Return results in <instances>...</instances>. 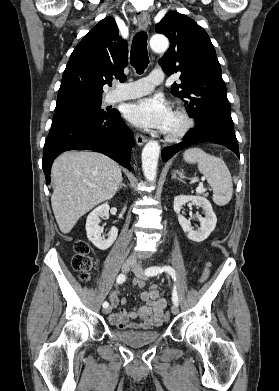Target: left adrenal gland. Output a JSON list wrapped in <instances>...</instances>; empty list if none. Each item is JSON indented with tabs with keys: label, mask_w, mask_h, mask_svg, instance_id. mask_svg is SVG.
Masks as SVG:
<instances>
[{
	"label": "left adrenal gland",
	"mask_w": 279,
	"mask_h": 391,
	"mask_svg": "<svg viewBox=\"0 0 279 391\" xmlns=\"http://www.w3.org/2000/svg\"><path fill=\"white\" fill-rule=\"evenodd\" d=\"M171 178H172V179H177V180H179V181H182L180 178H178V177L176 176V173H173Z\"/></svg>",
	"instance_id": "1"
}]
</instances>
